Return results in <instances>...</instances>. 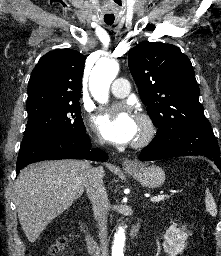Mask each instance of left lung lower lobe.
<instances>
[{
  "label": "left lung lower lobe",
  "instance_id": "1",
  "mask_svg": "<svg viewBox=\"0 0 221 256\" xmlns=\"http://www.w3.org/2000/svg\"><path fill=\"white\" fill-rule=\"evenodd\" d=\"M201 155L221 170L218 142L209 121L200 125H178L168 132L157 133L152 142L144 148L139 160H160L177 156Z\"/></svg>",
  "mask_w": 221,
  "mask_h": 256
}]
</instances>
